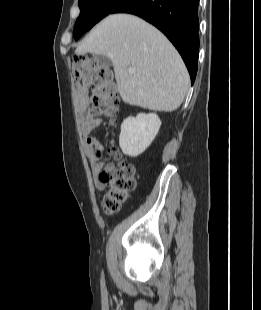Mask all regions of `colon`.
I'll use <instances>...</instances> for the list:
<instances>
[{
    "instance_id": "1",
    "label": "colon",
    "mask_w": 261,
    "mask_h": 310,
    "mask_svg": "<svg viewBox=\"0 0 261 310\" xmlns=\"http://www.w3.org/2000/svg\"><path fill=\"white\" fill-rule=\"evenodd\" d=\"M72 72L79 85L92 90V96L87 98L84 106L92 115H104L113 124L120 100L109 67L100 64L90 55L78 54L73 57ZM101 154L102 152L97 153L99 157ZM108 154L113 158V162L105 166L99 177L107 187L102 203L103 209L105 213L113 214L124 206L135 188V168L121 159L115 145L111 144Z\"/></svg>"
}]
</instances>
